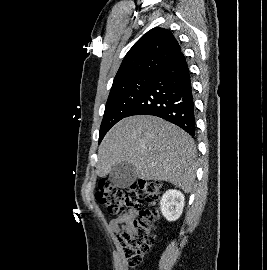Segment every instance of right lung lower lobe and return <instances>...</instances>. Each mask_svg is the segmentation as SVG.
<instances>
[{
  "label": "right lung lower lobe",
  "mask_w": 267,
  "mask_h": 270,
  "mask_svg": "<svg viewBox=\"0 0 267 270\" xmlns=\"http://www.w3.org/2000/svg\"><path fill=\"white\" fill-rule=\"evenodd\" d=\"M154 115L195 135V107L186 59L179 52L155 75L140 100L126 117Z\"/></svg>",
  "instance_id": "right-lung-lower-lobe-1"
}]
</instances>
